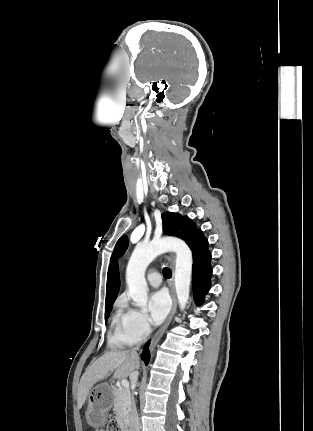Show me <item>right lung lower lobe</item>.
Instances as JSON below:
<instances>
[{"label": "right lung lower lobe", "mask_w": 313, "mask_h": 431, "mask_svg": "<svg viewBox=\"0 0 313 431\" xmlns=\"http://www.w3.org/2000/svg\"><path fill=\"white\" fill-rule=\"evenodd\" d=\"M149 344H150V341H148V342L145 344V346H144V348H143V352H142V359H143V361L145 362V364H148L149 359H150V352H149V350H148Z\"/></svg>", "instance_id": "1"}]
</instances>
